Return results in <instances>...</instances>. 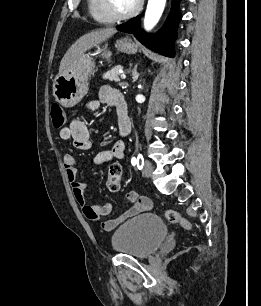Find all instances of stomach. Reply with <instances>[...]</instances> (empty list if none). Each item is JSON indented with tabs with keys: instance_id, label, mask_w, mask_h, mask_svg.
<instances>
[{
	"instance_id": "stomach-1",
	"label": "stomach",
	"mask_w": 261,
	"mask_h": 306,
	"mask_svg": "<svg viewBox=\"0 0 261 306\" xmlns=\"http://www.w3.org/2000/svg\"><path fill=\"white\" fill-rule=\"evenodd\" d=\"M118 51L135 54L137 45L128 38L116 41ZM112 53L104 51L102 57L110 61ZM95 62L88 54H82L64 72L59 73L53 82L55 100L64 107H73L79 103L88 92V80L93 74Z\"/></svg>"
}]
</instances>
